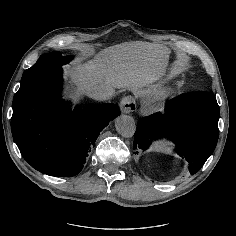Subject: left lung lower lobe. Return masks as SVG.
<instances>
[{"instance_id": "obj_1", "label": "left lung lower lobe", "mask_w": 236, "mask_h": 236, "mask_svg": "<svg viewBox=\"0 0 236 236\" xmlns=\"http://www.w3.org/2000/svg\"><path fill=\"white\" fill-rule=\"evenodd\" d=\"M220 109L216 97L204 91L181 94L169 101L165 113L141 118L134 135V153L145 151L151 141L168 137L176 152L195 174L213 153L219 136Z\"/></svg>"}]
</instances>
